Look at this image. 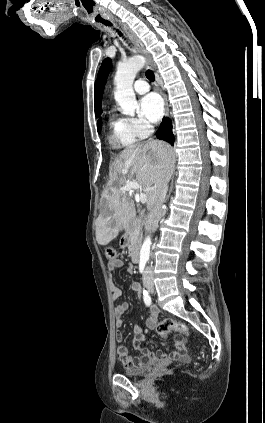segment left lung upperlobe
Here are the masks:
<instances>
[{"instance_id": "5c2ea615", "label": "left lung upper lobe", "mask_w": 265, "mask_h": 423, "mask_svg": "<svg viewBox=\"0 0 265 423\" xmlns=\"http://www.w3.org/2000/svg\"><path fill=\"white\" fill-rule=\"evenodd\" d=\"M110 70H111V60L107 58L102 62V65L98 73V88H99V92L101 96H102L104 85L106 83V79Z\"/></svg>"}]
</instances>
